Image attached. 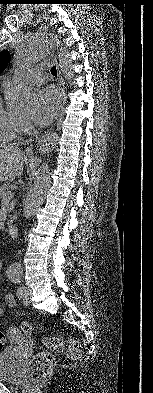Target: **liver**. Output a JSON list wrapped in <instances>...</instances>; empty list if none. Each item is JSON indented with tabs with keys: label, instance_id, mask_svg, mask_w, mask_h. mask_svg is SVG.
<instances>
[{
	"label": "liver",
	"instance_id": "obj_1",
	"mask_svg": "<svg viewBox=\"0 0 153 393\" xmlns=\"http://www.w3.org/2000/svg\"><path fill=\"white\" fill-rule=\"evenodd\" d=\"M24 169V153L15 145L0 146V182L12 181Z\"/></svg>",
	"mask_w": 153,
	"mask_h": 393
}]
</instances>
